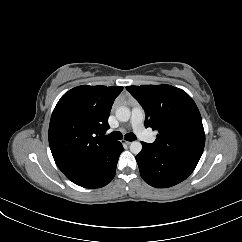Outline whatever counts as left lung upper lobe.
I'll use <instances>...</instances> for the list:
<instances>
[{
    "instance_id": "1",
    "label": "left lung upper lobe",
    "mask_w": 242,
    "mask_h": 242,
    "mask_svg": "<svg viewBox=\"0 0 242 242\" xmlns=\"http://www.w3.org/2000/svg\"><path fill=\"white\" fill-rule=\"evenodd\" d=\"M146 112L145 126L158 130L151 145L159 151L199 161L205 144L201 115L193 99L170 85L128 86Z\"/></svg>"
}]
</instances>
